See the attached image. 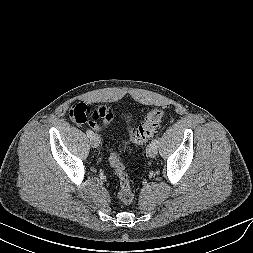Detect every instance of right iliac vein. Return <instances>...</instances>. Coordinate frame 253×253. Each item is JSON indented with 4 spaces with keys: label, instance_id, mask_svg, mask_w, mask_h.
Segmentation results:
<instances>
[{
    "label": "right iliac vein",
    "instance_id": "1",
    "mask_svg": "<svg viewBox=\"0 0 253 253\" xmlns=\"http://www.w3.org/2000/svg\"><path fill=\"white\" fill-rule=\"evenodd\" d=\"M90 144L93 148H97L100 144V138L97 134H94L91 138H90Z\"/></svg>",
    "mask_w": 253,
    "mask_h": 253
}]
</instances>
